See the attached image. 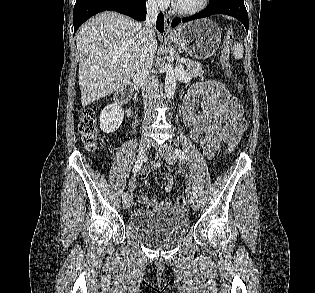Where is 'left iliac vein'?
<instances>
[{
	"label": "left iliac vein",
	"mask_w": 315,
	"mask_h": 293,
	"mask_svg": "<svg viewBox=\"0 0 315 293\" xmlns=\"http://www.w3.org/2000/svg\"><path fill=\"white\" fill-rule=\"evenodd\" d=\"M153 146L155 148H157V146L155 144H153ZM161 152H162V155H163L165 161L168 164L173 165L176 163V154H175L174 148L171 145L165 144L164 146H162ZM190 204H191V207L194 211H197L199 209L200 203H199V200L197 197L191 196Z\"/></svg>",
	"instance_id": "left-iliac-vein-1"
}]
</instances>
